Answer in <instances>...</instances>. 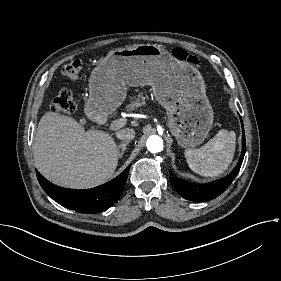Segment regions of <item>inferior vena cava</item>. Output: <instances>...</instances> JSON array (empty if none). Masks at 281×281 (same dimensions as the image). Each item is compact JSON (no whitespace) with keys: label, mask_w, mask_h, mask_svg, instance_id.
I'll list each match as a JSON object with an SVG mask.
<instances>
[{"label":"inferior vena cava","mask_w":281,"mask_h":281,"mask_svg":"<svg viewBox=\"0 0 281 281\" xmlns=\"http://www.w3.org/2000/svg\"><path fill=\"white\" fill-rule=\"evenodd\" d=\"M116 136L124 141L132 140L135 136V131L131 128L122 129L116 132Z\"/></svg>","instance_id":"obj_1"}]
</instances>
